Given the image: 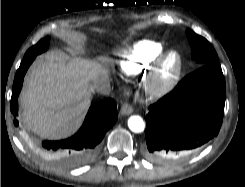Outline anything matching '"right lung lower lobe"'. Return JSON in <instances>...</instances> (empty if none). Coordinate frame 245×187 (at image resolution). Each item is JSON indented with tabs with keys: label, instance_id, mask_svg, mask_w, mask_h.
Masks as SVG:
<instances>
[{
	"label": "right lung lower lobe",
	"instance_id": "obj_1",
	"mask_svg": "<svg viewBox=\"0 0 245 187\" xmlns=\"http://www.w3.org/2000/svg\"><path fill=\"white\" fill-rule=\"evenodd\" d=\"M36 55L24 56L19 69L16 72L11 97V112L17 115V98L21 91L23 78ZM118 118L116 103L113 99H107L92 106L85 118L83 126L71 138L62 141H44L43 152L59 158L69 165H82L91 161L97 154L99 143L105 133L115 124ZM15 126L18 121L14 120Z\"/></svg>",
	"mask_w": 245,
	"mask_h": 187
}]
</instances>
